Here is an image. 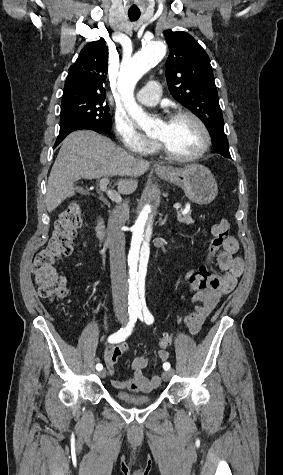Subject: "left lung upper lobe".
I'll return each instance as SVG.
<instances>
[{
  "label": "left lung upper lobe",
  "mask_w": 283,
  "mask_h": 475,
  "mask_svg": "<svg viewBox=\"0 0 283 475\" xmlns=\"http://www.w3.org/2000/svg\"><path fill=\"white\" fill-rule=\"evenodd\" d=\"M165 38L170 49L166 79L172 96L204 122L210 135L225 134L209 56L186 32L167 31Z\"/></svg>",
  "instance_id": "1"
}]
</instances>
